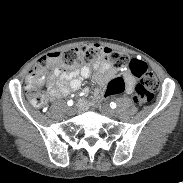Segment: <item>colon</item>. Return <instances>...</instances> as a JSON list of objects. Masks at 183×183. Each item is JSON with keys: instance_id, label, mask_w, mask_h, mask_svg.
Returning <instances> with one entry per match:
<instances>
[{"instance_id": "5ec220e1", "label": "colon", "mask_w": 183, "mask_h": 183, "mask_svg": "<svg viewBox=\"0 0 183 183\" xmlns=\"http://www.w3.org/2000/svg\"><path fill=\"white\" fill-rule=\"evenodd\" d=\"M104 59L114 68L120 69L129 66L132 73L139 78L133 97L134 103L141 107L154 99V94L159 89V82L155 75L148 70L145 62L137 59L130 60L121 52L100 47L95 44H87L77 48H71L62 52L50 53L38 60L29 73L26 84V94L35 107H42L46 102V96L42 88L35 85L38 76L57 65L60 68L76 67L82 63ZM126 82L121 77H116L110 81L104 91V97L108 98L126 91Z\"/></svg>"}]
</instances>
